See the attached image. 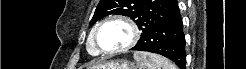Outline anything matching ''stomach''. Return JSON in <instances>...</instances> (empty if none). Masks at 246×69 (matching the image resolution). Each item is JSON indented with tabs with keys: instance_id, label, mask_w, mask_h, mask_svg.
<instances>
[{
	"instance_id": "0dacf381",
	"label": "stomach",
	"mask_w": 246,
	"mask_h": 69,
	"mask_svg": "<svg viewBox=\"0 0 246 69\" xmlns=\"http://www.w3.org/2000/svg\"><path fill=\"white\" fill-rule=\"evenodd\" d=\"M88 69H134V67L128 65V63L125 61L117 60L93 65Z\"/></svg>"
}]
</instances>
